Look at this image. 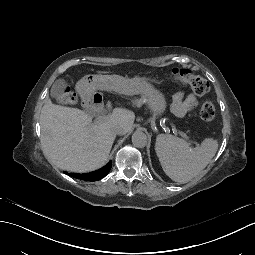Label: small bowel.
Masks as SVG:
<instances>
[{
	"mask_svg": "<svg viewBox=\"0 0 255 255\" xmlns=\"http://www.w3.org/2000/svg\"><path fill=\"white\" fill-rule=\"evenodd\" d=\"M197 105V100L194 95H188L186 99L177 107L176 113L178 115H183L190 111Z\"/></svg>",
	"mask_w": 255,
	"mask_h": 255,
	"instance_id": "c3829d8e",
	"label": "small bowel"
}]
</instances>
